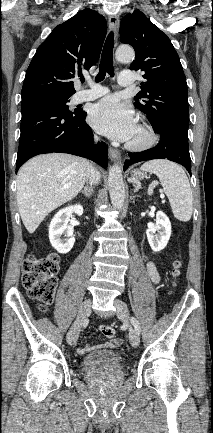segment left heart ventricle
Returning a JSON list of instances; mask_svg holds the SVG:
<instances>
[{
  "label": "left heart ventricle",
  "instance_id": "1",
  "mask_svg": "<svg viewBox=\"0 0 213 433\" xmlns=\"http://www.w3.org/2000/svg\"><path fill=\"white\" fill-rule=\"evenodd\" d=\"M144 139V134L141 131V129L137 126L133 135L131 136V138L128 140V142H133V143H137L140 142Z\"/></svg>",
  "mask_w": 213,
  "mask_h": 433
}]
</instances>
